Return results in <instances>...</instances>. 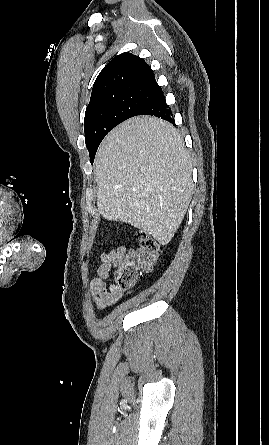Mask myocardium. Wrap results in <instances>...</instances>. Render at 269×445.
<instances>
[{
    "instance_id": "f54148a6",
    "label": "myocardium",
    "mask_w": 269,
    "mask_h": 445,
    "mask_svg": "<svg viewBox=\"0 0 269 445\" xmlns=\"http://www.w3.org/2000/svg\"><path fill=\"white\" fill-rule=\"evenodd\" d=\"M9 236H10V234H7V235L4 236L3 238H1V239H0V243H1L2 241H5Z\"/></svg>"
}]
</instances>
